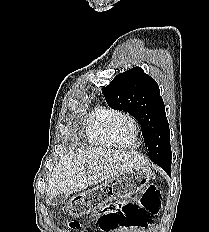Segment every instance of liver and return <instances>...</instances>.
Returning <instances> with one entry per match:
<instances>
[{
  "mask_svg": "<svg viewBox=\"0 0 209 232\" xmlns=\"http://www.w3.org/2000/svg\"><path fill=\"white\" fill-rule=\"evenodd\" d=\"M146 164L147 161L136 152L81 148L62 157L54 168L47 186L48 199L79 192L88 185L113 179Z\"/></svg>",
  "mask_w": 209,
  "mask_h": 232,
  "instance_id": "1",
  "label": "liver"
}]
</instances>
